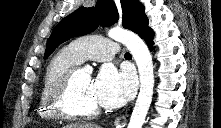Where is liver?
I'll use <instances>...</instances> for the list:
<instances>
[{
  "label": "liver",
  "mask_w": 221,
  "mask_h": 128,
  "mask_svg": "<svg viewBox=\"0 0 221 128\" xmlns=\"http://www.w3.org/2000/svg\"><path fill=\"white\" fill-rule=\"evenodd\" d=\"M64 128H97V126L92 124H70L66 125Z\"/></svg>",
  "instance_id": "6515ba94"
}]
</instances>
